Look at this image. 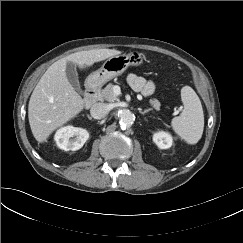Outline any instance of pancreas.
<instances>
[{
    "label": "pancreas",
    "mask_w": 243,
    "mask_h": 243,
    "mask_svg": "<svg viewBox=\"0 0 243 243\" xmlns=\"http://www.w3.org/2000/svg\"><path fill=\"white\" fill-rule=\"evenodd\" d=\"M114 85L112 83H109L100 93L99 99L100 100H106L108 102H113L117 99V96L113 93ZM149 103L152 105V107L156 110L160 109V102L153 98L149 100Z\"/></svg>",
    "instance_id": "pancreas-1"
}]
</instances>
